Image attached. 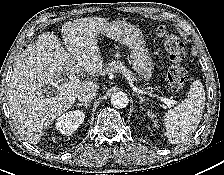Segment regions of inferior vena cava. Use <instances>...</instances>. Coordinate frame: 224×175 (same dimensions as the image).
I'll return each instance as SVG.
<instances>
[{"label":"inferior vena cava","mask_w":224,"mask_h":175,"mask_svg":"<svg viewBox=\"0 0 224 175\" xmlns=\"http://www.w3.org/2000/svg\"><path fill=\"white\" fill-rule=\"evenodd\" d=\"M97 93L95 90H82L77 94L79 101L87 102L96 97Z\"/></svg>","instance_id":"602c4592"}]
</instances>
